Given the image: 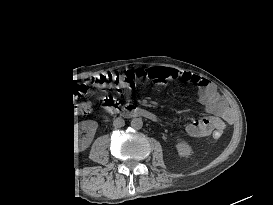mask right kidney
<instances>
[{"label":"right kidney","instance_id":"right-kidney-1","mask_svg":"<svg viewBox=\"0 0 273 205\" xmlns=\"http://www.w3.org/2000/svg\"><path fill=\"white\" fill-rule=\"evenodd\" d=\"M96 127L97 126L95 124L91 125L86 122H82L75 126V131L77 132L75 134V147H76L75 149L76 150H84L87 147V145L91 142V140L94 137ZM81 129H82V133H85L87 131V134L82 135V137L80 135Z\"/></svg>","mask_w":273,"mask_h":205}]
</instances>
